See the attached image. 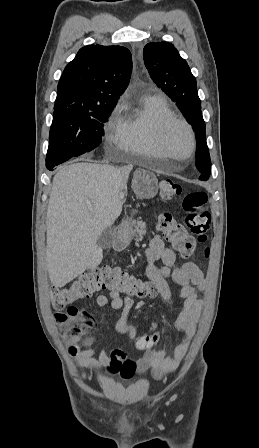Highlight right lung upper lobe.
<instances>
[{"instance_id": "cb5924a9", "label": "right lung upper lobe", "mask_w": 259, "mask_h": 448, "mask_svg": "<svg viewBox=\"0 0 259 448\" xmlns=\"http://www.w3.org/2000/svg\"><path fill=\"white\" fill-rule=\"evenodd\" d=\"M131 72L132 57L125 47L81 48L60 78L54 113L114 108L127 88Z\"/></svg>"}]
</instances>
